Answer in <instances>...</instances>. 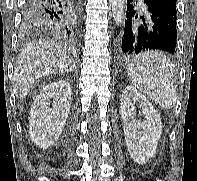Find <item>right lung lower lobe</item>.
Masks as SVG:
<instances>
[{"label": "right lung lower lobe", "mask_w": 197, "mask_h": 181, "mask_svg": "<svg viewBox=\"0 0 197 181\" xmlns=\"http://www.w3.org/2000/svg\"><path fill=\"white\" fill-rule=\"evenodd\" d=\"M82 0H26V27L42 26L74 41L81 24Z\"/></svg>", "instance_id": "1"}]
</instances>
